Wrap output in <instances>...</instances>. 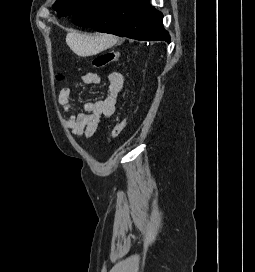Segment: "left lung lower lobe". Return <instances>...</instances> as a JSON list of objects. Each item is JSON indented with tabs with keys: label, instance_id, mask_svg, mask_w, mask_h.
Here are the masks:
<instances>
[{
	"label": "left lung lower lobe",
	"instance_id": "left-lung-lower-lobe-1",
	"mask_svg": "<svg viewBox=\"0 0 255 272\" xmlns=\"http://www.w3.org/2000/svg\"><path fill=\"white\" fill-rule=\"evenodd\" d=\"M163 14L149 0H90L72 14L74 24L136 40L166 41Z\"/></svg>",
	"mask_w": 255,
	"mask_h": 272
}]
</instances>
